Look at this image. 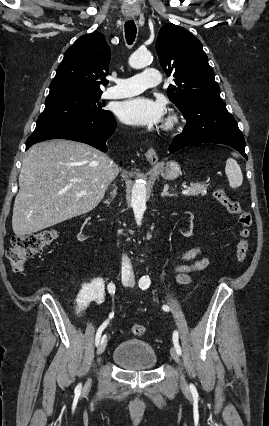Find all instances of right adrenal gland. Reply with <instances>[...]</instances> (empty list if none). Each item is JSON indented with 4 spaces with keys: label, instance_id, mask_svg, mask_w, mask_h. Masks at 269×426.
<instances>
[{
    "label": "right adrenal gland",
    "instance_id": "2a0ac1e0",
    "mask_svg": "<svg viewBox=\"0 0 269 426\" xmlns=\"http://www.w3.org/2000/svg\"><path fill=\"white\" fill-rule=\"evenodd\" d=\"M116 193H117V187L114 186L113 192L110 193L111 194V199L105 200L104 203H106L107 205H109L110 202L113 200V198L116 196Z\"/></svg>",
    "mask_w": 269,
    "mask_h": 426
}]
</instances>
